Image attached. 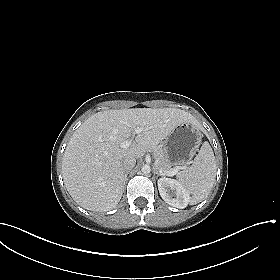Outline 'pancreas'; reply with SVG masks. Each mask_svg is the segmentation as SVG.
<instances>
[{
	"mask_svg": "<svg viewBox=\"0 0 280 280\" xmlns=\"http://www.w3.org/2000/svg\"><path fill=\"white\" fill-rule=\"evenodd\" d=\"M155 165L162 171H170L173 169L172 163L166 158L165 152L161 147H155L153 151Z\"/></svg>",
	"mask_w": 280,
	"mask_h": 280,
	"instance_id": "1",
	"label": "pancreas"
}]
</instances>
